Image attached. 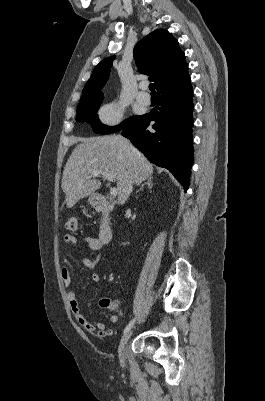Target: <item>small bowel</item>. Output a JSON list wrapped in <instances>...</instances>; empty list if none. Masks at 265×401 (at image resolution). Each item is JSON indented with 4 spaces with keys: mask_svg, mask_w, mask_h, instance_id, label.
I'll use <instances>...</instances> for the list:
<instances>
[{
    "mask_svg": "<svg viewBox=\"0 0 265 401\" xmlns=\"http://www.w3.org/2000/svg\"><path fill=\"white\" fill-rule=\"evenodd\" d=\"M83 240L87 248L95 252V256L93 259L82 258L81 262L85 267L93 269L100 260L104 244L99 240V238L92 236H86L83 238ZM63 242L68 245H76L77 239L75 236L67 234L63 237ZM61 275L65 286L69 287L74 279L75 269L72 263L67 259H64L63 261ZM91 279L95 283H100L102 280L98 273H93ZM66 296L75 320L85 331L89 333H96L100 338H106L113 335V331L111 329H105V325L102 322H92L84 317L79 308L77 295L74 291H68ZM103 300L100 301L101 306H103ZM119 319L120 315H114L110 320L112 323H117Z\"/></svg>",
    "mask_w": 265,
    "mask_h": 401,
    "instance_id": "obj_1",
    "label": "small bowel"
}]
</instances>
